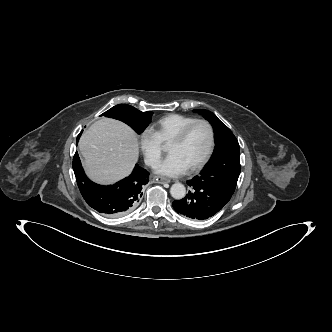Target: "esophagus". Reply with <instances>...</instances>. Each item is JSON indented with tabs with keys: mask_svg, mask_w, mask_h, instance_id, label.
<instances>
[{
	"mask_svg": "<svg viewBox=\"0 0 332 332\" xmlns=\"http://www.w3.org/2000/svg\"><path fill=\"white\" fill-rule=\"evenodd\" d=\"M153 181L155 183H160V184H163V183H169L170 180L168 178H165V177H161V176H155L153 178Z\"/></svg>",
	"mask_w": 332,
	"mask_h": 332,
	"instance_id": "34e87169",
	"label": "esophagus"
}]
</instances>
